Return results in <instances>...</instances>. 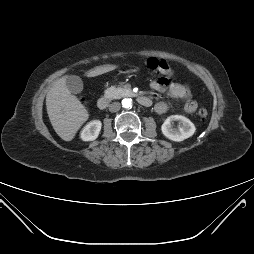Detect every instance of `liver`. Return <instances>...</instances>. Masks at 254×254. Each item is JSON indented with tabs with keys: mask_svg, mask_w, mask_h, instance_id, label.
Listing matches in <instances>:
<instances>
[{
	"mask_svg": "<svg viewBox=\"0 0 254 254\" xmlns=\"http://www.w3.org/2000/svg\"><path fill=\"white\" fill-rule=\"evenodd\" d=\"M116 68L117 65L110 64L98 66L89 70L86 76L96 77ZM46 108L55 132L65 141H71L89 117L80 100L67 89L66 77L58 79L48 91Z\"/></svg>",
	"mask_w": 254,
	"mask_h": 254,
	"instance_id": "1",
	"label": "liver"
}]
</instances>
